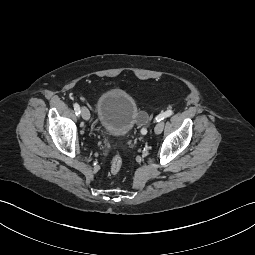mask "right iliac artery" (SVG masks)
Wrapping results in <instances>:
<instances>
[{
    "mask_svg": "<svg viewBox=\"0 0 255 255\" xmlns=\"http://www.w3.org/2000/svg\"><path fill=\"white\" fill-rule=\"evenodd\" d=\"M74 110H75L76 115L78 116L80 114V106L78 103L74 104Z\"/></svg>",
    "mask_w": 255,
    "mask_h": 255,
    "instance_id": "82829eb1",
    "label": "right iliac artery"
}]
</instances>
